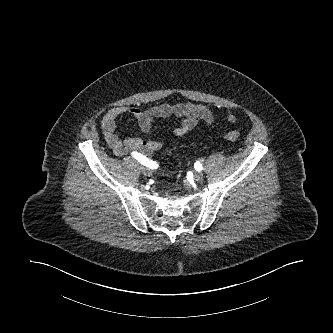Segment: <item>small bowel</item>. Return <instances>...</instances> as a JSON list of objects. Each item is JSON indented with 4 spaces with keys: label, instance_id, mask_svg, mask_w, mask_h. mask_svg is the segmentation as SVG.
<instances>
[{
    "label": "small bowel",
    "instance_id": "1",
    "mask_svg": "<svg viewBox=\"0 0 333 333\" xmlns=\"http://www.w3.org/2000/svg\"><path fill=\"white\" fill-rule=\"evenodd\" d=\"M128 115L137 121L144 134L151 131L156 119L176 116L180 122L173 132L179 136L188 133L199 123L208 126L214 119L212 112L206 106L195 103H163L147 109L130 106L111 108L102 117L101 130L107 145L117 156H125L133 152L150 155L164 147L163 142L154 139L141 137L121 139L116 133V123L120 118Z\"/></svg>",
    "mask_w": 333,
    "mask_h": 333
}]
</instances>
